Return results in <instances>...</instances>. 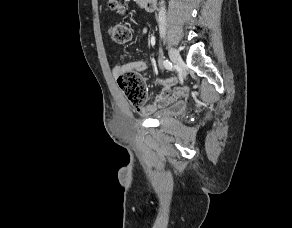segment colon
Returning a JSON list of instances; mask_svg holds the SVG:
<instances>
[{
  "mask_svg": "<svg viewBox=\"0 0 292 228\" xmlns=\"http://www.w3.org/2000/svg\"><path fill=\"white\" fill-rule=\"evenodd\" d=\"M110 8L123 12L125 4L120 0H109ZM110 41L116 45H123L131 38V29L125 24H114L108 30ZM117 82L128 101L136 108L144 106L147 93L142 76L135 71H127L117 77Z\"/></svg>",
  "mask_w": 292,
  "mask_h": 228,
  "instance_id": "1",
  "label": "colon"
}]
</instances>
